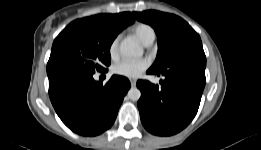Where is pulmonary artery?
Returning <instances> with one entry per match:
<instances>
[{
	"label": "pulmonary artery",
	"instance_id": "pulmonary-artery-1",
	"mask_svg": "<svg viewBox=\"0 0 261 150\" xmlns=\"http://www.w3.org/2000/svg\"><path fill=\"white\" fill-rule=\"evenodd\" d=\"M154 40H150L149 42H147L145 45L149 46L150 44H152Z\"/></svg>",
	"mask_w": 261,
	"mask_h": 150
}]
</instances>
